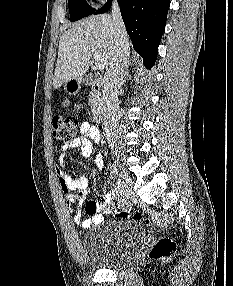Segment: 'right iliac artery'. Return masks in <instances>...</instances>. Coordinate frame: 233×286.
Here are the masks:
<instances>
[{
	"label": "right iliac artery",
	"instance_id": "right-iliac-artery-1",
	"mask_svg": "<svg viewBox=\"0 0 233 286\" xmlns=\"http://www.w3.org/2000/svg\"><path fill=\"white\" fill-rule=\"evenodd\" d=\"M112 196L115 199H119L120 194H119V185L113 184V188H112Z\"/></svg>",
	"mask_w": 233,
	"mask_h": 286
}]
</instances>
